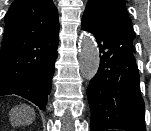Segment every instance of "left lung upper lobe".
I'll use <instances>...</instances> for the list:
<instances>
[{"label": "left lung upper lobe", "instance_id": "1", "mask_svg": "<svg viewBox=\"0 0 151 131\" xmlns=\"http://www.w3.org/2000/svg\"><path fill=\"white\" fill-rule=\"evenodd\" d=\"M84 16L103 19L117 25H124L128 29V48L134 52L132 41L135 38L131 20L129 19L125 0H89Z\"/></svg>", "mask_w": 151, "mask_h": 131}]
</instances>
